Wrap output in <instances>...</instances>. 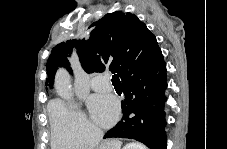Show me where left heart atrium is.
Instances as JSON below:
<instances>
[{
  "mask_svg": "<svg viewBox=\"0 0 227 149\" xmlns=\"http://www.w3.org/2000/svg\"><path fill=\"white\" fill-rule=\"evenodd\" d=\"M88 106L94 121L102 127L112 125L119 116V104L110 95H94L89 99Z\"/></svg>",
  "mask_w": 227,
  "mask_h": 149,
  "instance_id": "1",
  "label": "left heart atrium"
}]
</instances>
